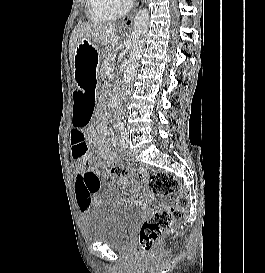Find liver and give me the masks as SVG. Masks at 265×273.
I'll use <instances>...</instances> for the list:
<instances>
[{
	"mask_svg": "<svg viewBox=\"0 0 265 273\" xmlns=\"http://www.w3.org/2000/svg\"><path fill=\"white\" fill-rule=\"evenodd\" d=\"M121 29L115 25L104 24L99 22H80L72 31L69 43L70 63L74 69V55L76 46L82 40L88 39L95 46H105L107 50L118 44Z\"/></svg>",
	"mask_w": 265,
	"mask_h": 273,
	"instance_id": "liver-1",
	"label": "liver"
}]
</instances>
